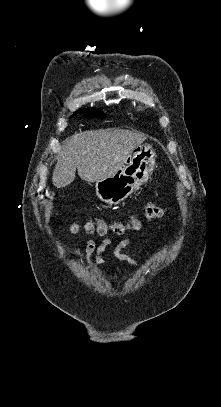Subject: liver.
I'll return each instance as SVG.
<instances>
[{
  "mask_svg": "<svg viewBox=\"0 0 221 407\" xmlns=\"http://www.w3.org/2000/svg\"><path fill=\"white\" fill-rule=\"evenodd\" d=\"M146 135L137 131L100 129L79 132L62 145L52 182L57 188L71 184L76 175L96 182L113 175Z\"/></svg>",
  "mask_w": 221,
  "mask_h": 407,
  "instance_id": "6515ba94",
  "label": "liver"
}]
</instances>
